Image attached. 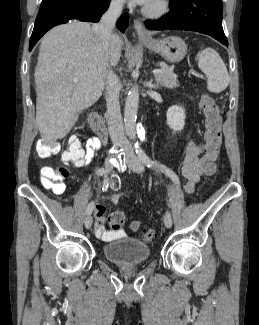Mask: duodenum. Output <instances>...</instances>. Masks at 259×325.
<instances>
[{
	"label": "duodenum",
	"instance_id": "1",
	"mask_svg": "<svg viewBox=\"0 0 259 325\" xmlns=\"http://www.w3.org/2000/svg\"><path fill=\"white\" fill-rule=\"evenodd\" d=\"M88 123L96 136L102 141L107 139V128L100 116L96 111H92L88 115Z\"/></svg>",
	"mask_w": 259,
	"mask_h": 325
}]
</instances>
